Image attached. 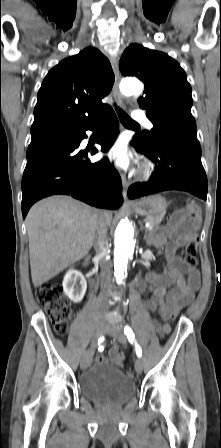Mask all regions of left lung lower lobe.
Instances as JSON below:
<instances>
[{
	"mask_svg": "<svg viewBox=\"0 0 221 448\" xmlns=\"http://www.w3.org/2000/svg\"><path fill=\"white\" fill-rule=\"evenodd\" d=\"M133 145L155 163V171L149 182L129 187L130 199L164 190L188 191L207 199V177L201 163L199 142L158 140L153 148H145L133 138Z\"/></svg>",
	"mask_w": 221,
	"mask_h": 448,
	"instance_id": "1",
	"label": "left lung lower lobe"
}]
</instances>
